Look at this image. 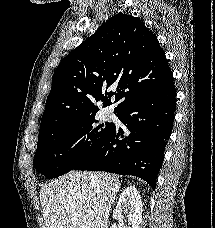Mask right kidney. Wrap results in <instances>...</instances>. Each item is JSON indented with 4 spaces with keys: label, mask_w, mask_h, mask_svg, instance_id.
<instances>
[{
    "label": "right kidney",
    "mask_w": 215,
    "mask_h": 228,
    "mask_svg": "<svg viewBox=\"0 0 215 228\" xmlns=\"http://www.w3.org/2000/svg\"><path fill=\"white\" fill-rule=\"evenodd\" d=\"M116 210L123 212L132 228H140L142 222L143 204L137 188L129 186L123 190L116 204ZM110 228H121L120 224H112Z\"/></svg>",
    "instance_id": "ca27d5eb"
}]
</instances>
